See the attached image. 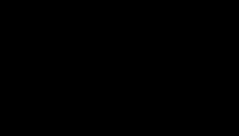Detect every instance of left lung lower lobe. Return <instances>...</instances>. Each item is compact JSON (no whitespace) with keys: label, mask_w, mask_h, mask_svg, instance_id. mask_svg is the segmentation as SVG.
Listing matches in <instances>:
<instances>
[{"label":"left lung lower lobe","mask_w":239,"mask_h":136,"mask_svg":"<svg viewBox=\"0 0 239 136\" xmlns=\"http://www.w3.org/2000/svg\"><path fill=\"white\" fill-rule=\"evenodd\" d=\"M133 93L138 108L155 119L182 113L196 98L204 71L203 54L183 51L133 67Z\"/></svg>","instance_id":"0a47b994"}]
</instances>
